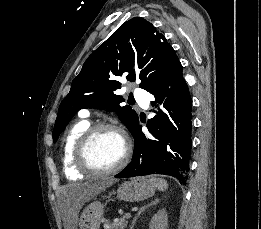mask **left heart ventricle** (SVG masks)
I'll return each instance as SVG.
<instances>
[{
    "mask_svg": "<svg viewBox=\"0 0 261 229\" xmlns=\"http://www.w3.org/2000/svg\"><path fill=\"white\" fill-rule=\"evenodd\" d=\"M124 154L121 136L112 131H102L93 140L89 157L91 162L102 169L117 165Z\"/></svg>",
    "mask_w": 261,
    "mask_h": 229,
    "instance_id": "1",
    "label": "left heart ventricle"
}]
</instances>
